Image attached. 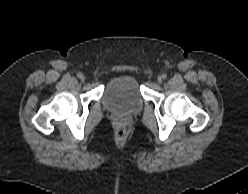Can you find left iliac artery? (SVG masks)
Here are the masks:
<instances>
[{"mask_svg":"<svg viewBox=\"0 0 248 194\" xmlns=\"http://www.w3.org/2000/svg\"><path fill=\"white\" fill-rule=\"evenodd\" d=\"M162 78H163V79H166V78H167V75H166V74H163V75H162Z\"/></svg>","mask_w":248,"mask_h":194,"instance_id":"1","label":"left iliac artery"}]
</instances>
